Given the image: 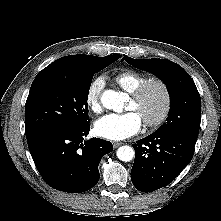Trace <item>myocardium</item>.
Wrapping results in <instances>:
<instances>
[{
  "label": "myocardium",
  "instance_id": "obj_1",
  "mask_svg": "<svg viewBox=\"0 0 221 221\" xmlns=\"http://www.w3.org/2000/svg\"><path fill=\"white\" fill-rule=\"evenodd\" d=\"M152 87H158L163 95V106L160 113L152 120L143 121L146 128H157L162 125L168 118L172 108V92L168 83L160 78H151L143 82L130 95L131 100L138 103L145 93Z\"/></svg>",
  "mask_w": 221,
  "mask_h": 221
}]
</instances>
